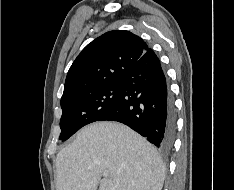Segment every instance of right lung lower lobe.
Segmentation results:
<instances>
[{
	"label": "right lung lower lobe",
	"mask_w": 234,
	"mask_h": 190,
	"mask_svg": "<svg viewBox=\"0 0 234 190\" xmlns=\"http://www.w3.org/2000/svg\"><path fill=\"white\" fill-rule=\"evenodd\" d=\"M119 96L98 121L121 122L161 150L172 147L176 117L160 61L149 49L119 80Z\"/></svg>",
	"instance_id": "right-lung-lower-lobe-1"
}]
</instances>
